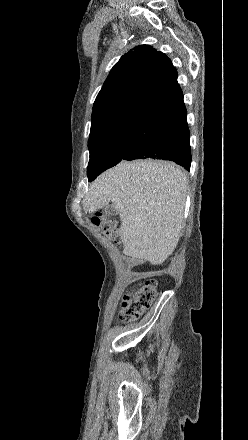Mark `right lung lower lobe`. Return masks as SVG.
Masks as SVG:
<instances>
[{
	"label": "right lung lower lobe",
	"mask_w": 248,
	"mask_h": 440,
	"mask_svg": "<svg viewBox=\"0 0 248 440\" xmlns=\"http://www.w3.org/2000/svg\"><path fill=\"white\" fill-rule=\"evenodd\" d=\"M183 97L138 122L129 130L122 160L162 159L190 169V132Z\"/></svg>",
	"instance_id": "right-lung-lower-lobe-1"
}]
</instances>
